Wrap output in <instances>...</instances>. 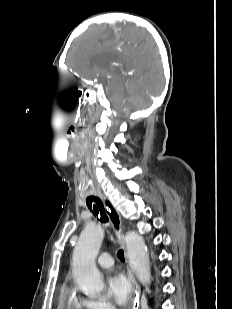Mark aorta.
<instances>
[{"label": "aorta", "mask_w": 232, "mask_h": 309, "mask_svg": "<svg viewBox=\"0 0 232 309\" xmlns=\"http://www.w3.org/2000/svg\"><path fill=\"white\" fill-rule=\"evenodd\" d=\"M103 238L102 228L96 223H89L82 231L73 252V279L89 297L100 296L104 289L103 279L95 263ZM125 242L132 271L143 285L150 284V259L143 237L137 232L129 231Z\"/></svg>", "instance_id": "obj_1"}]
</instances>
